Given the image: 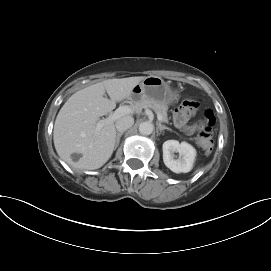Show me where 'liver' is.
I'll use <instances>...</instances> for the list:
<instances>
[{"label": "liver", "instance_id": "6515ba94", "mask_svg": "<svg viewBox=\"0 0 271 271\" xmlns=\"http://www.w3.org/2000/svg\"><path fill=\"white\" fill-rule=\"evenodd\" d=\"M145 78L108 79L74 93L54 123L53 140L59 157L75 169L102 167L113 153L116 129L112 122L96 131L98 119L111 112L116 102L130 99L134 87ZM105 92L110 99L104 97ZM73 153L82 155L77 162L71 159Z\"/></svg>", "mask_w": 271, "mask_h": 271}]
</instances>
